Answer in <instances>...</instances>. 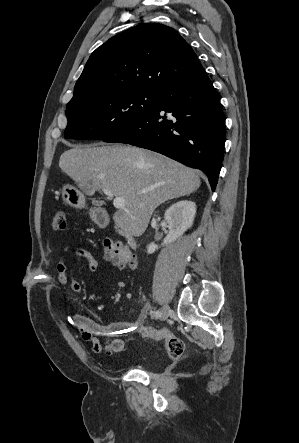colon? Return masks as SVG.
Listing matches in <instances>:
<instances>
[{
    "instance_id": "1",
    "label": "colon",
    "mask_w": 299,
    "mask_h": 443,
    "mask_svg": "<svg viewBox=\"0 0 299 443\" xmlns=\"http://www.w3.org/2000/svg\"><path fill=\"white\" fill-rule=\"evenodd\" d=\"M51 226L55 231L62 232L66 230L67 222L63 211L54 213ZM102 252L107 261L120 269L133 268L136 265V256L133 250L118 239L102 241ZM141 335L152 340L164 341L167 352L173 359H178L184 354V341L168 329L148 326L142 328Z\"/></svg>"
}]
</instances>
